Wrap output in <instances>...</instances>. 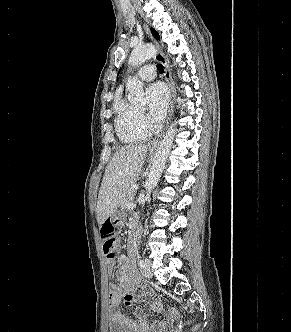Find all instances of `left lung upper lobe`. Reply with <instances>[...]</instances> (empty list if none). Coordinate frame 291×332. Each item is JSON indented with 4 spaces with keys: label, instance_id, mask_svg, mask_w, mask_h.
Returning <instances> with one entry per match:
<instances>
[{
    "label": "left lung upper lobe",
    "instance_id": "left-lung-upper-lobe-1",
    "mask_svg": "<svg viewBox=\"0 0 291 332\" xmlns=\"http://www.w3.org/2000/svg\"><path fill=\"white\" fill-rule=\"evenodd\" d=\"M151 32L153 33V35H154L157 39H159V34H158V32H156L154 29H151Z\"/></svg>",
    "mask_w": 291,
    "mask_h": 332
}]
</instances>
